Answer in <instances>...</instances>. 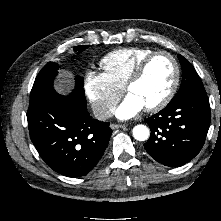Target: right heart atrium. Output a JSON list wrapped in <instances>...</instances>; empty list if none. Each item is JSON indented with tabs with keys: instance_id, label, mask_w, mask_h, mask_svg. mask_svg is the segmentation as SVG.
<instances>
[{
	"instance_id": "1",
	"label": "right heart atrium",
	"mask_w": 221,
	"mask_h": 221,
	"mask_svg": "<svg viewBox=\"0 0 221 221\" xmlns=\"http://www.w3.org/2000/svg\"><path fill=\"white\" fill-rule=\"evenodd\" d=\"M84 91L98 118H105L119 100L122 88L104 72L88 71L84 77Z\"/></svg>"
}]
</instances>
